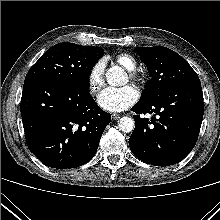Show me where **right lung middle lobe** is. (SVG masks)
<instances>
[{"mask_svg":"<svg viewBox=\"0 0 220 220\" xmlns=\"http://www.w3.org/2000/svg\"><path fill=\"white\" fill-rule=\"evenodd\" d=\"M103 54L102 48L73 43L56 44L30 68L24 83L53 80L89 86L91 70Z\"/></svg>","mask_w":220,"mask_h":220,"instance_id":"dd1d6c3e","label":"right lung middle lobe"}]
</instances>
